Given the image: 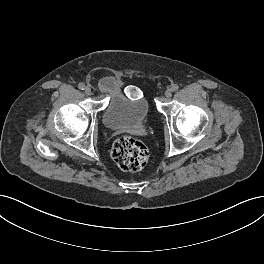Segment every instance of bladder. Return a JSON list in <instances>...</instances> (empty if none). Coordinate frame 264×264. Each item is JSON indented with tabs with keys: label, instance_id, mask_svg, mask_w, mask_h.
Masks as SVG:
<instances>
[{
	"label": "bladder",
	"instance_id": "1",
	"mask_svg": "<svg viewBox=\"0 0 264 264\" xmlns=\"http://www.w3.org/2000/svg\"><path fill=\"white\" fill-rule=\"evenodd\" d=\"M108 102L103 110V124L112 130L134 128L141 125L151 111L147 95L137 87L130 88L121 81L107 83Z\"/></svg>",
	"mask_w": 264,
	"mask_h": 264
}]
</instances>
